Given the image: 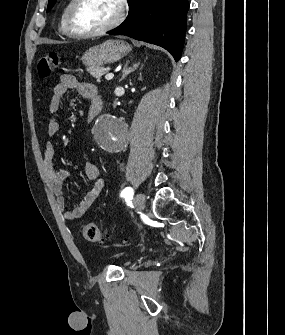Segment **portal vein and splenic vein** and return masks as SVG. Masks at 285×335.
I'll list each match as a JSON object with an SVG mask.
<instances>
[{
	"label": "portal vein and splenic vein",
	"mask_w": 285,
	"mask_h": 335,
	"mask_svg": "<svg viewBox=\"0 0 285 335\" xmlns=\"http://www.w3.org/2000/svg\"><path fill=\"white\" fill-rule=\"evenodd\" d=\"M105 78L106 80H112V78H114V74H106Z\"/></svg>",
	"instance_id": "1"
}]
</instances>
